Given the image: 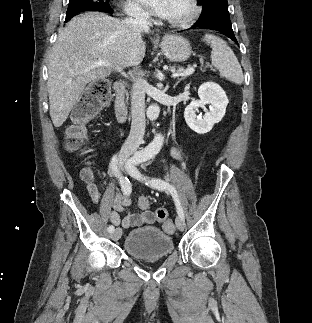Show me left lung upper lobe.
Returning a JSON list of instances; mask_svg holds the SVG:
<instances>
[{"label":"left lung upper lobe","mask_w":312,"mask_h":323,"mask_svg":"<svg viewBox=\"0 0 312 323\" xmlns=\"http://www.w3.org/2000/svg\"><path fill=\"white\" fill-rule=\"evenodd\" d=\"M198 4L203 6L197 26L217 23L220 20L230 21L227 0H198Z\"/></svg>","instance_id":"1"}]
</instances>
